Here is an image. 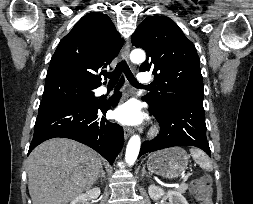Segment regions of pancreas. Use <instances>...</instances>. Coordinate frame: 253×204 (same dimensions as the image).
<instances>
[{"instance_id": "obj_1", "label": "pancreas", "mask_w": 253, "mask_h": 204, "mask_svg": "<svg viewBox=\"0 0 253 204\" xmlns=\"http://www.w3.org/2000/svg\"><path fill=\"white\" fill-rule=\"evenodd\" d=\"M188 185L187 184H182L180 185L176 190L180 193H185V191L187 190Z\"/></svg>"}]
</instances>
